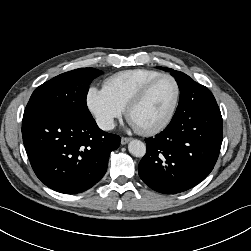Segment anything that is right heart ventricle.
Returning <instances> with one entry per match:
<instances>
[{"label":"right heart ventricle","instance_id":"e07e8e85","mask_svg":"<svg viewBox=\"0 0 251 251\" xmlns=\"http://www.w3.org/2000/svg\"><path fill=\"white\" fill-rule=\"evenodd\" d=\"M162 74L151 69H132L115 73L108 77L103 88L123 108L149 80Z\"/></svg>","mask_w":251,"mask_h":251}]
</instances>
